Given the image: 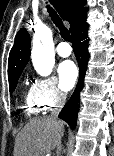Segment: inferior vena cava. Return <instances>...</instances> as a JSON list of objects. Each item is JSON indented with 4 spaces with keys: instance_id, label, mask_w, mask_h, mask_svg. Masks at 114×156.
Instances as JSON below:
<instances>
[{
    "instance_id": "602c4592",
    "label": "inferior vena cava",
    "mask_w": 114,
    "mask_h": 156,
    "mask_svg": "<svg viewBox=\"0 0 114 156\" xmlns=\"http://www.w3.org/2000/svg\"><path fill=\"white\" fill-rule=\"evenodd\" d=\"M66 101V95L62 92H58L55 99V106L51 111L50 118L54 120H58V115L63 108Z\"/></svg>"
}]
</instances>
